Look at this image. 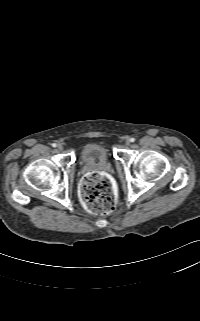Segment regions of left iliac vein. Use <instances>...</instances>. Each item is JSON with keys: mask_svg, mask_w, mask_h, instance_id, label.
<instances>
[{"mask_svg": "<svg viewBox=\"0 0 200 321\" xmlns=\"http://www.w3.org/2000/svg\"><path fill=\"white\" fill-rule=\"evenodd\" d=\"M125 143H126V145H130L131 140L128 138V139H126Z\"/></svg>", "mask_w": 200, "mask_h": 321, "instance_id": "left-iliac-vein-1", "label": "left iliac vein"}]
</instances>
